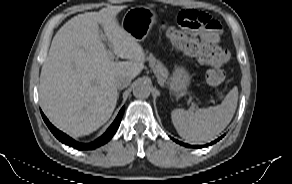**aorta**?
Listing matches in <instances>:
<instances>
[{
	"label": "aorta",
	"mask_w": 292,
	"mask_h": 184,
	"mask_svg": "<svg viewBox=\"0 0 292 184\" xmlns=\"http://www.w3.org/2000/svg\"><path fill=\"white\" fill-rule=\"evenodd\" d=\"M151 87L145 81H137L133 85V95L139 99H145L150 96Z\"/></svg>",
	"instance_id": "762f6f07"
}]
</instances>
